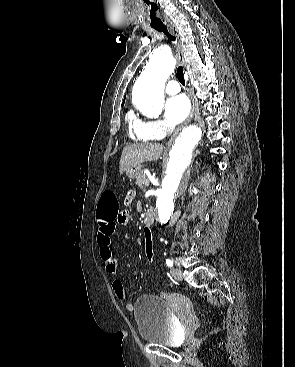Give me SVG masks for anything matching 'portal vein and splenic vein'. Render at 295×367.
<instances>
[{"instance_id": "portal-vein-and-splenic-vein-1", "label": "portal vein and splenic vein", "mask_w": 295, "mask_h": 367, "mask_svg": "<svg viewBox=\"0 0 295 367\" xmlns=\"http://www.w3.org/2000/svg\"><path fill=\"white\" fill-rule=\"evenodd\" d=\"M145 186H149V180L148 179L145 181Z\"/></svg>"}]
</instances>
